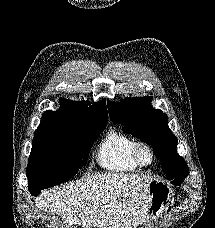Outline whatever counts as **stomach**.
Masks as SVG:
<instances>
[{
  "instance_id": "obj_1",
  "label": "stomach",
  "mask_w": 215,
  "mask_h": 228,
  "mask_svg": "<svg viewBox=\"0 0 215 228\" xmlns=\"http://www.w3.org/2000/svg\"><path fill=\"white\" fill-rule=\"evenodd\" d=\"M146 196L150 224H156L162 218L164 210L168 208L171 198H173L172 188L162 180H153L148 184Z\"/></svg>"
}]
</instances>
